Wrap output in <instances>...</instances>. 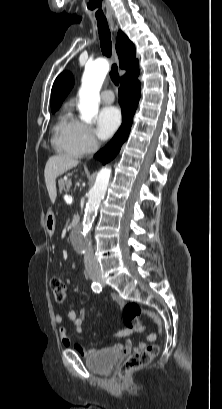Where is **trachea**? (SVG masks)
<instances>
[{"label": "trachea", "mask_w": 222, "mask_h": 409, "mask_svg": "<svg viewBox=\"0 0 222 409\" xmlns=\"http://www.w3.org/2000/svg\"><path fill=\"white\" fill-rule=\"evenodd\" d=\"M98 24V32H99V39L101 50L103 54L110 58L111 57V50H112V42H111V33L108 26L107 21L104 20H97ZM110 77L116 86L119 85V74L118 68L115 63L112 64V68L110 71Z\"/></svg>", "instance_id": "3493384b"}]
</instances>
